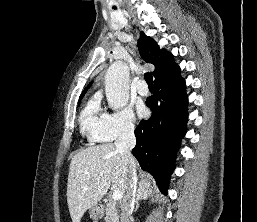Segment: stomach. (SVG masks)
Instances as JSON below:
<instances>
[{"label":"stomach","instance_id":"stomach-1","mask_svg":"<svg viewBox=\"0 0 257 222\" xmlns=\"http://www.w3.org/2000/svg\"><path fill=\"white\" fill-rule=\"evenodd\" d=\"M90 218L94 221L98 220L101 216L100 211L97 207H92L89 210Z\"/></svg>","mask_w":257,"mask_h":222}]
</instances>
